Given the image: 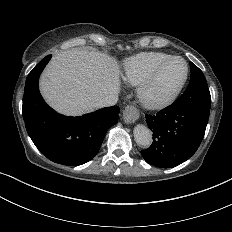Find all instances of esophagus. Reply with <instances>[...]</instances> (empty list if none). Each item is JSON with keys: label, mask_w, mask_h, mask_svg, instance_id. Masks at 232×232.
Masks as SVG:
<instances>
[{"label": "esophagus", "mask_w": 232, "mask_h": 232, "mask_svg": "<svg viewBox=\"0 0 232 232\" xmlns=\"http://www.w3.org/2000/svg\"><path fill=\"white\" fill-rule=\"evenodd\" d=\"M139 118L138 109L133 106H126L123 111V119L128 124H133Z\"/></svg>", "instance_id": "esophagus-1"}]
</instances>
